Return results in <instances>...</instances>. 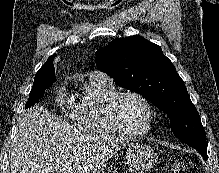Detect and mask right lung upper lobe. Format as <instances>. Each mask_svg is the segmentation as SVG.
<instances>
[{
  "instance_id": "cb5924a9",
  "label": "right lung upper lobe",
  "mask_w": 219,
  "mask_h": 173,
  "mask_svg": "<svg viewBox=\"0 0 219 173\" xmlns=\"http://www.w3.org/2000/svg\"><path fill=\"white\" fill-rule=\"evenodd\" d=\"M56 56V54L50 56L48 58V60L46 61V63L40 68V70L38 72H55L54 71V64H53V60L54 57Z\"/></svg>"
}]
</instances>
